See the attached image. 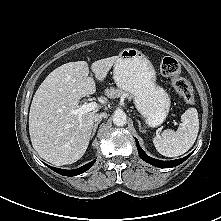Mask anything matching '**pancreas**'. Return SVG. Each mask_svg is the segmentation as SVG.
I'll list each match as a JSON object with an SVG mask.
<instances>
[{
  "label": "pancreas",
  "mask_w": 221,
  "mask_h": 221,
  "mask_svg": "<svg viewBox=\"0 0 221 221\" xmlns=\"http://www.w3.org/2000/svg\"><path fill=\"white\" fill-rule=\"evenodd\" d=\"M105 94L108 98H118V97H128L130 98V95L123 91L122 89H115L113 87L106 89Z\"/></svg>",
  "instance_id": "cf45deb5"
}]
</instances>
